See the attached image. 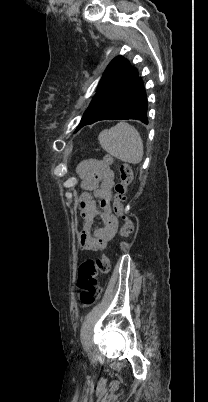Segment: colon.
Returning a JSON list of instances; mask_svg holds the SVG:
<instances>
[{
    "label": "colon",
    "instance_id": "colon-1",
    "mask_svg": "<svg viewBox=\"0 0 208 402\" xmlns=\"http://www.w3.org/2000/svg\"><path fill=\"white\" fill-rule=\"evenodd\" d=\"M105 161L113 163L111 155H105ZM132 182V171L130 165L121 163L118 165V182L115 185V198L113 207L116 214L122 219L120 227V238L132 236L135 228L134 220L127 216L125 211L127 188ZM110 270V262L106 255H102L97 260H84L77 269V285L79 289V299L84 306L94 305L100 296L101 286L97 281L98 275H107Z\"/></svg>",
    "mask_w": 208,
    "mask_h": 402
}]
</instances>
